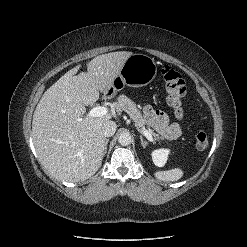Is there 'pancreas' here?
<instances>
[{"instance_id":"cf45deb5","label":"pancreas","mask_w":247,"mask_h":247,"mask_svg":"<svg viewBox=\"0 0 247 247\" xmlns=\"http://www.w3.org/2000/svg\"><path fill=\"white\" fill-rule=\"evenodd\" d=\"M119 106L122 110L127 112V114L133 119L135 122V126L138 129H141L145 127L146 122L142 116V113L140 110L136 107V104L127 96L121 95L118 98ZM147 130L151 133V135L154 137L155 140H163L164 138L161 137L159 134L155 133L154 130L147 127Z\"/></svg>"}]
</instances>
